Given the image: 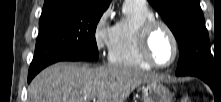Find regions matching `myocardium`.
Listing matches in <instances>:
<instances>
[{
    "label": "myocardium",
    "instance_id": "obj_1",
    "mask_svg": "<svg viewBox=\"0 0 221 102\" xmlns=\"http://www.w3.org/2000/svg\"><path fill=\"white\" fill-rule=\"evenodd\" d=\"M160 28L164 29L169 34L174 45V55L172 59L170 60V62H168L167 64L157 63L153 59L151 55V51H150V44H151L152 36L155 33V31ZM138 49H139V53L143 61L146 64H148L150 67L156 68V69H166L172 66L176 62L179 56V52H180L179 41H178L176 34L172 30V28L167 23L161 20H157V19L147 21L141 27L139 34H138Z\"/></svg>",
    "mask_w": 221,
    "mask_h": 102
}]
</instances>
